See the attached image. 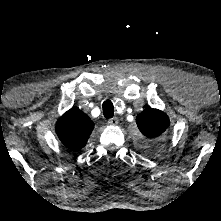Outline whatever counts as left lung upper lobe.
<instances>
[{
	"label": "left lung upper lobe",
	"instance_id": "1",
	"mask_svg": "<svg viewBox=\"0 0 221 221\" xmlns=\"http://www.w3.org/2000/svg\"><path fill=\"white\" fill-rule=\"evenodd\" d=\"M136 123L143 135L139 142L140 151L145 155H156L164 144L162 134L169 126L168 116L160 110L147 107L137 116Z\"/></svg>",
	"mask_w": 221,
	"mask_h": 221
}]
</instances>
